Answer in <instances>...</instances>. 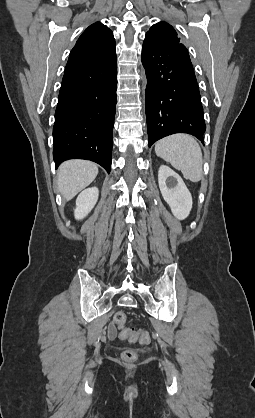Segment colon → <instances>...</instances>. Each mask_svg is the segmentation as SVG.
<instances>
[{"label": "colon", "mask_w": 255, "mask_h": 418, "mask_svg": "<svg viewBox=\"0 0 255 418\" xmlns=\"http://www.w3.org/2000/svg\"><path fill=\"white\" fill-rule=\"evenodd\" d=\"M114 324L119 329V337L121 339H128L131 341L137 338L144 344L150 342V335L147 331H140L135 333L133 329L126 327V315L123 312H117L113 318ZM122 359L127 362H133L137 358V353L132 349H127L122 353Z\"/></svg>", "instance_id": "colon-1"}]
</instances>
